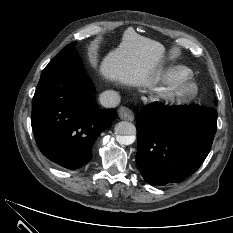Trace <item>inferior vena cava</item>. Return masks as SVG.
<instances>
[{
  "label": "inferior vena cava",
  "instance_id": "1",
  "mask_svg": "<svg viewBox=\"0 0 233 233\" xmlns=\"http://www.w3.org/2000/svg\"><path fill=\"white\" fill-rule=\"evenodd\" d=\"M100 103L107 108L116 107L120 103V95L115 91H105L100 94Z\"/></svg>",
  "mask_w": 233,
  "mask_h": 233
}]
</instances>
